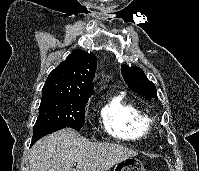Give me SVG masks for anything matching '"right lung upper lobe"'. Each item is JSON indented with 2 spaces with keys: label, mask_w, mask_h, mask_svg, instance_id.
<instances>
[{
  "label": "right lung upper lobe",
  "mask_w": 199,
  "mask_h": 171,
  "mask_svg": "<svg viewBox=\"0 0 199 171\" xmlns=\"http://www.w3.org/2000/svg\"><path fill=\"white\" fill-rule=\"evenodd\" d=\"M93 53L74 50L49 74L42 91L88 98L93 94L92 77L96 70Z\"/></svg>",
  "instance_id": "1"
}]
</instances>
